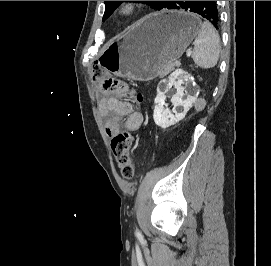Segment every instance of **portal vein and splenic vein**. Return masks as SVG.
<instances>
[{
	"mask_svg": "<svg viewBox=\"0 0 271 266\" xmlns=\"http://www.w3.org/2000/svg\"><path fill=\"white\" fill-rule=\"evenodd\" d=\"M191 53H192V51H191V49L189 48V49L186 51V56H187V57H190V56H191ZM176 63H177L178 66L180 65V62H179V61H177Z\"/></svg>",
	"mask_w": 271,
	"mask_h": 266,
	"instance_id": "1",
	"label": "portal vein and splenic vein"
}]
</instances>
